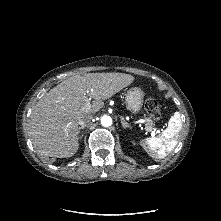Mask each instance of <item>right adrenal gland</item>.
I'll return each mask as SVG.
<instances>
[{
    "mask_svg": "<svg viewBox=\"0 0 221 221\" xmlns=\"http://www.w3.org/2000/svg\"><path fill=\"white\" fill-rule=\"evenodd\" d=\"M86 127V125H83L78 128V134H80V130H83ZM83 137V133H81V138Z\"/></svg>",
    "mask_w": 221,
    "mask_h": 221,
    "instance_id": "2a0ac1e0",
    "label": "right adrenal gland"
}]
</instances>
